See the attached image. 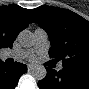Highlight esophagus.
Wrapping results in <instances>:
<instances>
[{"label": "esophagus", "mask_w": 89, "mask_h": 89, "mask_svg": "<svg viewBox=\"0 0 89 89\" xmlns=\"http://www.w3.org/2000/svg\"><path fill=\"white\" fill-rule=\"evenodd\" d=\"M32 68H33L32 65L29 64L28 65V71L30 72L32 70Z\"/></svg>", "instance_id": "obj_1"}]
</instances>
